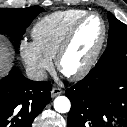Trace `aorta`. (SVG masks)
Instances as JSON below:
<instances>
[{
  "label": "aorta",
  "mask_w": 127,
  "mask_h": 127,
  "mask_svg": "<svg viewBox=\"0 0 127 127\" xmlns=\"http://www.w3.org/2000/svg\"><path fill=\"white\" fill-rule=\"evenodd\" d=\"M71 108L70 100L65 96H58L54 100V109L59 113H67Z\"/></svg>",
  "instance_id": "aorta-1"
}]
</instances>
